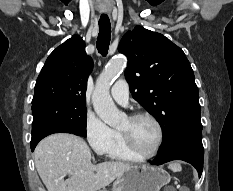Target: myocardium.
I'll list each match as a JSON object with an SVG mask.
<instances>
[{"label": "myocardium", "instance_id": "obj_1", "mask_svg": "<svg viewBox=\"0 0 233 191\" xmlns=\"http://www.w3.org/2000/svg\"><path fill=\"white\" fill-rule=\"evenodd\" d=\"M128 119L130 121H137L139 119H148L156 126L157 131H158V140H157L156 147L151 153H148V154L143 153L142 151L139 150V148L136 146L133 139L131 138V136L128 133H126L124 131H120V134H121L125 144L129 148V150L142 159H149V158H152L155 155H157V153L159 152V150L162 146L163 139H164L163 127H162L161 123L158 121V119L149 113H137V114L130 116Z\"/></svg>", "mask_w": 233, "mask_h": 191}]
</instances>
